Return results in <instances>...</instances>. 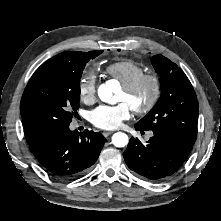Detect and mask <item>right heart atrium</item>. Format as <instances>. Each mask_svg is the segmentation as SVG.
<instances>
[{
	"label": "right heart atrium",
	"instance_id": "obj_1",
	"mask_svg": "<svg viewBox=\"0 0 221 221\" xmlns=\"http://www.w3.org/2000/svg\"><path fill=\"white\" fill-rule=\"evenodd\" d=\"M78 92L82 101L91 102L96 94V73L87 71L82 74L78 82Z\"/></svg>",
	"mask_w": 221,
	"mask_h": 221
}]
</instances>
